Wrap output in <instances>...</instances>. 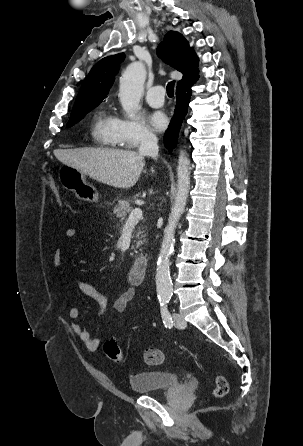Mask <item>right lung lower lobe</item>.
<instances>
[{"label": "right lung lower lobe", "mask_w": 303, "mask_h": 446, "mask_svg": "<svg viewBox=\"0 0 303 446\" xmlns=\"http://www.w3.org/2000/svg\"><path fill=\"white\" fill-rule=\"evenodd\" d=\"M196 80L197 78L191 82L178 86L176 89L177 103L175 107V114L169 125V129L166 131L164 136V144L169 150L176 146L180 125L187 114L191 95V86Z\"/></svg>", "instance_id": "1"}]
</instances>
